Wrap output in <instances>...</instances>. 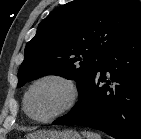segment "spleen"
<instances>
[{
	"mask_svg": "<svg viewBox=\"0 0 141 139\" xmlns=\"http://www.w3.org/2000/svg\"><path fill=\"white\" fill-rule=\"evenodd\" d=\"M82 134L86 139H101V136L97 133L85 131V132H82Z\"/></svg>",
	"mask_w": 141,
	"mask_h": 139,
	"instance_id": "1",
	"label": "spleen"
}]
</instances>
